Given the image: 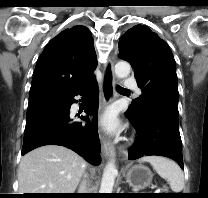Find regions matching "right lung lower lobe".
Here are the masks:
<instances>
[{"label":"right lung lower lobe","mask_w":208,"mask_h":198,"mask_svg":"<svg viewBox=\"0 0 208 198\" xmlns=\"http://www.w3.org/2000/svg\"><path fill=\"white\" fill-rule=\"evenodd\" d=\"M77 95L88 98L84 112L95 116L93 122H73L70 107L77 102L74 99ZM98 98V83L93 77L67 96L28 105L21 155L43 145H61L75 151L91 164L99 165ZM81 119L87 120L88 117L81 116Z\"/></svg>","instance_id":"obj_1"}]
</instances>
